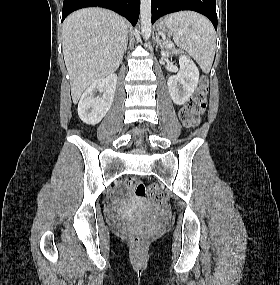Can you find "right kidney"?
Masks as SVG:
<instances>
[{
	"mask_svg": "<svg viewBox=\"0 0 280 285\" xmlns=\"http://www.w3.org/2000/svg\"><path fill=\"white\" fill-rule=\"evenodd\" d=\"M116 85L117 75L112 73L86 89L78 104V115L84 123L96 125L103 119L112 105ZM97 91L104 92L101 99L95 97Z\"/></svg>",
	"mask_w": 280,
	"mask_h": 285,
	"instance_id": "1",
	"label": "right kidney"
}]
</instances>
